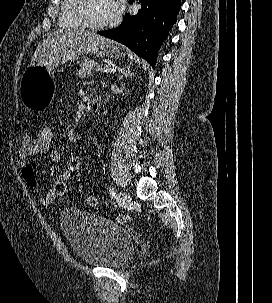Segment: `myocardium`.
<instances>
[{
	"mask_svg": "<svg viewBox=\"0 0 272 303\" xmlns=\"http://www.w3.org/2000/svg\"><path fill=\"white\" fill-rule=\"evenodd\" d=\"M88 0H75L74 6H73V14L75 18L85 27L90 30H103L109 27H112L116 20L113 18L112 20L102 23V24H96L89 20L87 13H86V7H87Z\"/></svg>",
	"mask_w": 272,
	"mask_h": 303,
	"instance_id": "obj_1",
	"label": "myocardium"
}]
</instances>
